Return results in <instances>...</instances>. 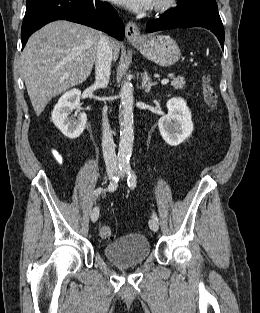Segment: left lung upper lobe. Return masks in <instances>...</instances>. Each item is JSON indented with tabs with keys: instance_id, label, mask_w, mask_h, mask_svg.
<instances>
[{
	"instance_id": "left-lung-upper-lobe-1",
	"label": "left lung upper lobe",
	"mask_w": 260,
	"mask_h": 313,
	"mask_svg": "<svg viewBox=\"0 0 260 313\" xmlns=\"http://www.w3.org/2000/svg\"><path fill=\"white\" fill-rule=\"evenodd\" d=\"M180 10H202L218 13L217 3L215 0H178Z\"/></svg>"
}]
</instances>
